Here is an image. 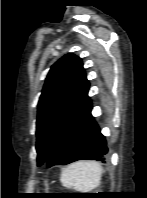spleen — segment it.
I'll return each instance as SVG.
<instances>
[{
	"instance_id": "3e777b00",
	"label": "spleen",
	"mask_w": 147,
	"mask_h": 198,
	"mask_svg": "<svg viewBox=\"0 0 147 198\" xmlns=\"http://www.w3.org/2000/svg\"><path fill=\"white\" fill-rule=\"evenodd\" d=\"M103 167L96 161H78L70 164L61 173V183L67 189L89 193L100 184Z\"/></svg>"
}]
</instances>
